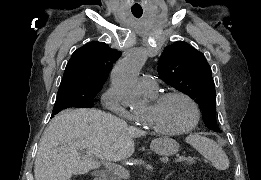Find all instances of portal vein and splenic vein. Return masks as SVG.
<instances>
[{
	"label": "portal vein and splenic vein",
	"mask_w": 261,
	"mask_h": 180,
	"mask_svg": "<svg viewBox=\"0 0 261 180\" xmlns=\"http://www.w3.org/2000/svg\"><path fill=\"white\" fill-rule=\"evenodd\" d=\"M83 150H85V148H83ZM185 160L186 157L180 156V158L172 160V165H177V163H184ZM108 166H111V170H113L114 174H117V176H120V178H123V180H129L130 172H128L126 168H118V166H115V164H108Z\"/></svg>",
	"instance_id": "obj_1"
}]
</instances>
